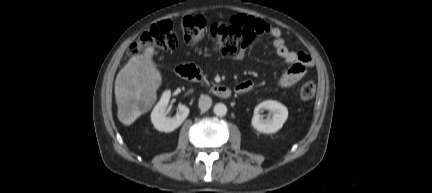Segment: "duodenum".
<instances>
[{
  "mask_svg": "<svg viewBox=\"0 0 432 193\" xmlns=\"http://www.w3.org/2000/svg\"><path fill=\"white\" fill-rule=\"evenodd\" d=\"M176 74L183 79L192 82H203L204 77L201 71L194 65L182 64L178 65L175 69ZM211 91L219 98H228L231 95V89L225 85H212Z\"/></svg>",
  "mask_w": 432,
  "mask_h": 193,
  "instance_id": "1",
  "label": "duodenum"
}]
</instances>
